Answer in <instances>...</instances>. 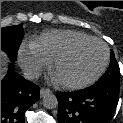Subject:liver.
<instances>
[{
	"mask_svg": "<svg viewBox=\"0 0 123 123\" xmlns=\"http://www.w3.org/2000/svg\"><path fill=\"white\" fill-rule=\"evenodd\" d=\"M9 59L8 56L1 51V79L4 77L5 72H6V66L8 63Z\"/></svg>",
	"mask_w": 123,
	"mask_h": 123,
	"instance_id": "1",
	"label": "liver"
}]
</instances>
